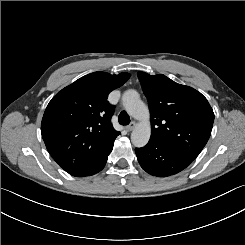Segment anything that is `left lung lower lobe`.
I'll return each mask as SVG.
<instances>
[{"instance_id":"left-lung-lower-lobe-1","label":"left lung lower lobe","mask_w":245,"mask_h":245,"mask_svg":"<svg viewBox=\"0 0 245 245\" xmlns=\"http://www.w3.org/2000/svg\"><path fill=\"white\" fill-rule=\"evenodd\" d=\"M135 153L141 167L149 174L158 177L175 175L187 168L194 158L185 153L151 140Z\"/></svg>"}]
</instances>
